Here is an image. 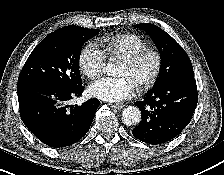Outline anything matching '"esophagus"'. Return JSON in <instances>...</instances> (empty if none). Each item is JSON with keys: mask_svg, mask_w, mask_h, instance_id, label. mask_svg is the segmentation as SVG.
<instances>
[{"mask_svg": "<svg viewBox=\"0 0 224 175\" xmlns=\"http://www.w3.org/2000/svg\"><path fill=\"white\" fill-rule=\"evenodd\" d=\"M109 106L114 109H122L124 107L123 104H113V103H110Z\"/></svg>", "mask_w": 224, "mask_h": 175, "instance_id": "obj_1", "label": "esophagus"}]
</instances>
